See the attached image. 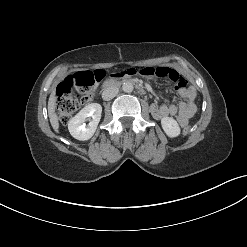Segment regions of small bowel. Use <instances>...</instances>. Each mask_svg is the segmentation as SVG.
<instances>
[{
	"mask_svg": "<svg viewBox=\"0 0 247 247\" xmlns=\"http://www.w3.org/2000/svg\"><path fill=\"white\" fill-rule=\"evenodd\" d=\"M139 75L144 78H169L175 83L174 90L185 99V101L151 106V114L156 119H162L177 115L180 126L188 124L189 120L196 113L197 105L195 102L196 92L192 86H188L187 80L174 68L166 66L158 67H130L121 71L115 76Z\"/></svg>",
	"mask_w": 247,
	"mask_h": 247,
	"instance_id": "1",
	"label": "small bowel"
}]
</instances>
